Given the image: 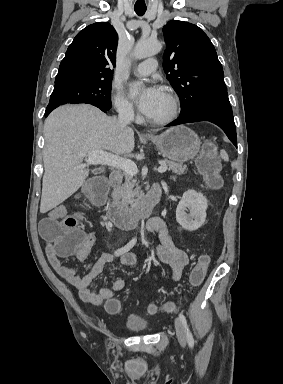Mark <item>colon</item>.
I'll return each mask as SVG.
<instances>
[{"label":"colon","instance_id":"5ec220e1","mask_svg":"<svg viewBox=\"0 0 283 384\" xmlns=\"http://www.w3.org/2000/svg\"><path fill=\"white\" fill-rule=\"evenodd\" d=\"M217 147L213 141L205 142L202 152L197 159V167L209 187L218 189L222 185L220 164L217 155ZM108 183L102 177H92L81 190L82 200L92 206L103 204L108 192ZM82 217L78 213L67 215L62 219H44L41 224V234L45 239L54 242L56 252L60 256H69L77 252L87 242L88 236L81 228ZM210 257L207 254L199 256L196 265L190 272L189 282L192 288L202 284ZM105 309L109 313H118L121 303L117 299L107 300ZM163 309L172 311L174 305L166 304ZM149 311L154 313L157 306L150 305Z\"/></svg>","mask_w":283,"mask_h":384}]
</instances>
